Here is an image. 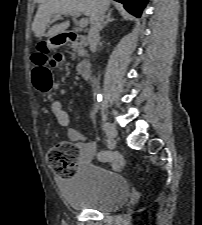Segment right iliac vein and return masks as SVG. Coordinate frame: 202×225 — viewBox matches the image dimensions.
Instances as JSON below:
<instances>
[{
	"label": "right iliac vein",
	"mask_w": 202,
	"mask_h": 225,
	"mask_svg": "<svg viewBox=\"0 0 202 225\" xmlns=\"http://www.w3.org/2000/svg\"><path fill=\"white\" fill-rule=\"evenodd\" d=\"M103 130L107 136V138L113 143L115 144V140H116V137L118 135V132L115 128L114 125H112L111 123H108V122H104L103 123Z\"/></svg>",
	"instance_id": "63e3f726"
}]
</instances>
